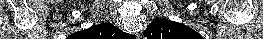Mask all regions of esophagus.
<instances>
[{
  "label": "esophagus",
  "mask_w": 263,
  "mask_h": 39,
  "mask_svg": "<svg viewBox=\"0 0 263 39\" xmlns=\"http://www.w3.org/2000/svg\"><path fill=\"white\" fill-rule=\"evenodd\" d=\"M136 38L139 39V35L138 34L136 35Z\"/></svg>",
  "instance_id": "1"
}]
</instances>
